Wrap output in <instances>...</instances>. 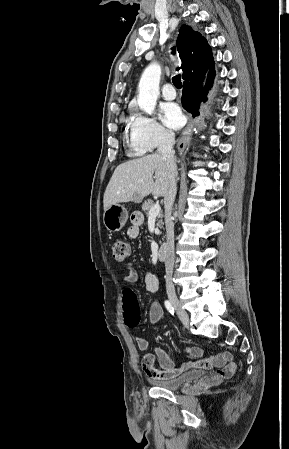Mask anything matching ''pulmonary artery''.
<instances>
[{
	"instance_id": "obj_1",
	"label": "pulmonary artery",
	"mask_w": 289,
	"mask_h": 449,
	"mask_svg": "<svg viewBox=\"0 0 289 449\" xmlns=\"http://www.w3.org/2000/svg\"><path fill=\"white\" fill-rule=\"evenodd\" d=\"M161 92H162L163 98L166 100H173L176 97V91L173 88V86L169 83L163 85Z\"/></svg>"
}]
</instances>
